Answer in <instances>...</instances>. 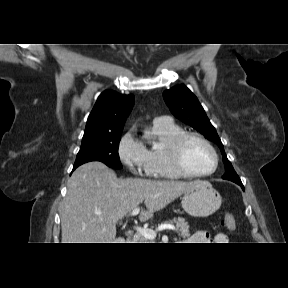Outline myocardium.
<instances>
[{"mask_svg": "<svg viewBox=\"0 0 288 288\" xmlns=\"http://www.w3.org/2000/svg\"><path fill=\"white\" fill-rule=\"evenodd\" d=\"M197 140L203 143L214 156V167L206 173H195L187 168L184 162L183 153L184 147L189 140ZM168 156L174 169L183 175L190 178H205L216 173L219 167V155L214 146L203 136L194 132H182L176 136L168 147Z\"/></svg>", "mask_w": 288, "mask_h": 288, "instance_id": "myocardium-1", "label": "myocardium"}]
</instances>
